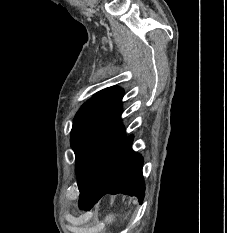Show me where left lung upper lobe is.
Instances as JSON below:
<instances>
[{"instance_id": "left-lung-upper-lobe-1", "label": "left lung upper lobe", "mask_w": 227, "mask_h": 233, "mask_svg": "<svg viewBox=\"0 0 227 233\" xmlns=\"http://www.w3.org/2000/svg\"><path fill=\"white\" fill-rule=\"evenodd\" d=\"M122 97L121 88H105L75 115L71 146L76 157L79 200L97 189L113 154L126 138L120 118Z\"/></svg>"}]
</instances>
